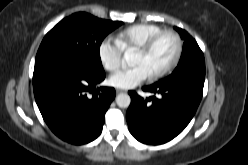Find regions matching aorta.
I'll return each instance as SVG.
<instances>
[{"mask_svg":"<svg viewBox=\"0 0 248 165\" xmlns=\"http://www.w3.org/2000/svg\"><path fill=\"white\" fill-rule=\"evenodd\" d=\"M133 57L134 55L132 52L130 51L125 52V59L128 64H130L133 61ZM116 103L121 108H127L131 103V98L126 93H120L116 96Z\"/></svg>","mask_w":248,"mask_h":165,"instance_id":"762f6f07","label":"aorta"}]
</instances>
